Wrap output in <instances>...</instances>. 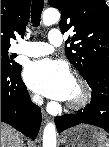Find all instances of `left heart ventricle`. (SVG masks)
<instances>
[{
  "label": "left heart ventricle",
  "instance_id": "b2bd125f",
  "mask_svg": "<svg viewBox=\"0 0 109 147\" xmlns=\"http://www.w3.org/2000/svg\"><path fill=\"white\" fill-rule=\"evenodd\" d=\"M80 96H81V88L75 81H73L71 91L67 100L77 101L80 98Z\"/></svg>",
  "mask_w": 109,
  "mask_h": 147
}]
</instances>
